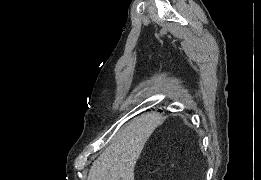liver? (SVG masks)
Wrapping results in <instances>:
<instances>
[{
  "mask_svg": "<svg viewBox=\"0 0 261 180\" xmlns=\"http://www.w3.org/2000/svg\"><path fill=\"white\" fill-rule=\"evenodd\" d=\"M152 114L126 124L113 144L93 162L88 180H134L135 164L152 134Z\"/></svg>",
  "mask_w": 261,
  "mask_h": 180,
  "instance_id": "6515ba94",
  "label": "liver"
}]
</instances>
